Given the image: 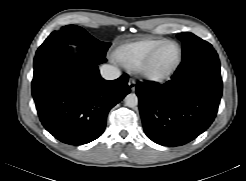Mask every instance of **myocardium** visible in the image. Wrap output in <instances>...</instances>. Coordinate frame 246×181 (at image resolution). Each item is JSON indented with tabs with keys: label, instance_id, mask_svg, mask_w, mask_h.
<instances>
[{
	"label": "myocardium",
	"instance_id": "obj_1",
	"mask_svg": "<svg viewBox=\"0 0 246 181\" xmlns=\"http://www.w3.org/2000/svg\"><path fill=\"white\" fill-rule=\"evenodd\" d=\"M169 46H176L177 48V57L173 64L163 72L155 71L154 70V64L157 61L160 54ZM182 59V48L181 46L175 42H166L160 45L157 49H155L140 65V68L142 69V72L144 75H146L148 78H157V79H167L169 78L178 68V66L181 63Z\"/></svg>",
	"mask_w": 246,
	"mask_h": 181
}]
</instances>
